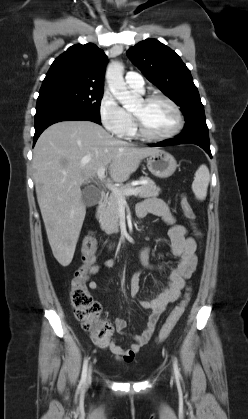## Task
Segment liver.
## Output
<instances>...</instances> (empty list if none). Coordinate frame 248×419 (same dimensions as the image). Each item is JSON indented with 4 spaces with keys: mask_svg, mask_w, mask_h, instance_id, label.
I'll return each mask as SVG.
<instances>
[{
    "mask_svg": "<svg viewBox=\"0 0 248 419\" xmlns=\"http://www.w3.org/2000/svg\"><path fill=\"white\" fill-rule=\"evenodd\" d=\"M158 151L116 139L91 121L59 122L41 134L33 151V178L48 241L62 266L73 259L86 215L81 186L101 167L113 181L124 182Z\"/></svg>",
    "mask_w": 248,
    "mask_h": 419,
    "instance_id": "6515ba94",
    "label": "liver"
}]
</instances>
